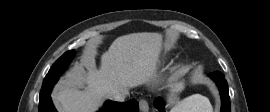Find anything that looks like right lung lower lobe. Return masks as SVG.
<instances>
[{"label":"right lung lower lobe","mask_w":270,"mask_h":112,"mask_svg":"<svg viewBox=\"0 0 270 112\" xmlns=\"http://www.w3.org/2000/svg\"><path fill=\"white\" fill-rule=\"evenodd\" d=\"M56 81H43L40 99H39V112H57L53 106L50 93ZM139 105L134 99L127 102H112L106 101L104 107L97 112H138Z\"/></svg>","instance_id":"1"}]
</instances>
